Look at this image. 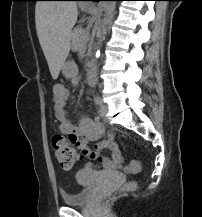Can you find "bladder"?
<instances>
[{"mask_svg":"<svg viewBox=\"0 0 202 217\" xmlns=\"http://www.w3.org/2000/svg\"><path fill=\"white\" fill-rule=\"evenodd\" d=\"M106 177H114V174L112 172L94 171L85 168L79 170L75 178L80 188L74 194L63 193V203L70 206L87 204L94 197L97 181Z\"/></svg>","mask_w":202,"mask_h":217,"instance_id":"1","label":"bladder"}]
</instances>
